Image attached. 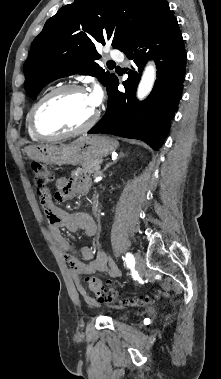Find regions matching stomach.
Here are the masks:
<instances>
[{
  "label": "stomach",
  "instance_id": "obj_1",
  "mask_svg": "<svg viewBox=\"0 0 221 379\" xmlns=\"http://www.w3.org/2000/svg\"><path fill=\"white\" fill-rule=\"evenodd\" d=\"M118 147V142L108 136L83 135L69 144L31 146L26 153L31 160L46 164H83L101 160Z\"/></svg>",
  "mask_w": 221,
  "mask_h": 379
}]
</instances>
